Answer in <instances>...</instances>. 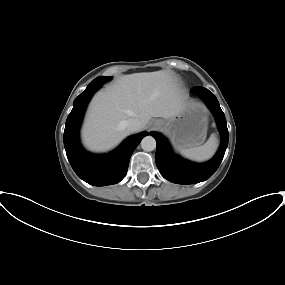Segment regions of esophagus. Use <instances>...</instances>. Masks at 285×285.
<instances>
[{"label":"esophagus","instance_id":"34e87169","mask_svg":"<svg viewBox=\"0 0 285 285\" xmlns=\"http://www.w3.org/2000/svg\"><path fill=\"white\" fill-rule=\"evenodd\" d=\"M159 126H160V124L157 123V122L153 124V128H157V127H159Z\"/></svg>","mask_w":285,"mask_h":285}]
</instances>
